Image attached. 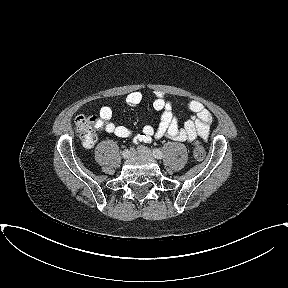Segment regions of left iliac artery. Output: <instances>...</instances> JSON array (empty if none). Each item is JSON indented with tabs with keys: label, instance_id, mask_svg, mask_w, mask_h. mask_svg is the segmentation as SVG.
<instances>
[{
	"label": "left iliac artery",
	"instance_id": "obj_1",
	"mask_svg": "<svg viewBox=\"0 0 288 288\" xmlns=\"http://www.w3.org/2000/svg\"><path fill=\"white\" fill-rule=\"evenodd\" d=\"M153 156L157 159H162L163 158V154L159 149H153Z\"/></svg>",
	"mask_w": 288,
	"mask_h": 288
}]
</instances>
